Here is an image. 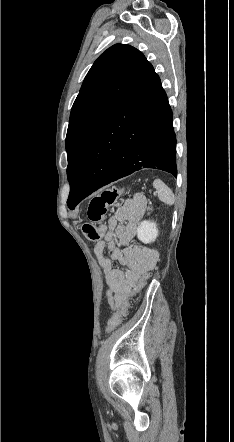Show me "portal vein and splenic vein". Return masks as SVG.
<instances>
[{
    "label": "portal vein and splenic vein",
    "mask_w": 234,
    "mask_h": 442,
    "mask_svg": "<svg viewBox=\"0 0 234 442\" xmlns=\"http://www.w3.org/2000/svg\"><path fill=\"white\" fill-rule=\"evenodd\" d=\"M156 194H157L156 192L153 193V195H156Z\"/></svg>",
    "instance_id": "obj_1"
}]
</instances>
